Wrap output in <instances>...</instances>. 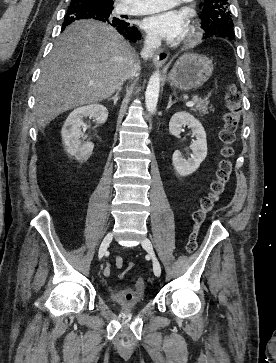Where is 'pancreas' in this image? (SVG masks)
<instances>
[{
  "instance_id": "cf45deb5",
  "label": "pancreas",
  "mask_w": 276,
  "mask_h": 363,
  "mask_svg": "<svg viewBox=\"0 0 276 363\" xmlns=\"http://www.w3.org/2000/svg\"><path fill=\"white\" fill-rule=\"evenodd\" d=\"M194 102L196 103L195 107L192 108L193 111H199L202 115H207L209 113V110L211 109L208 107L209 101L207 99H201V98H193Z\"/></svg>"
}]
</instances>
